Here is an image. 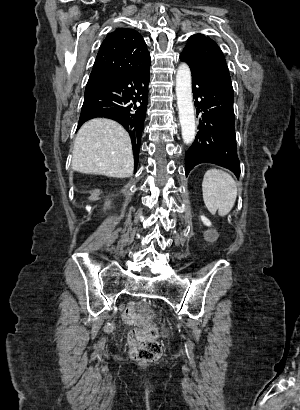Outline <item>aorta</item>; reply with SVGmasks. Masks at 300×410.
Here are the masks:
<instances>
[{
    "label": "aorta",
    "instance_id": "aorta-1",
    "mask_svg": "<svg viewBox=\"0 0 300 410\" xmlns=\"http://www.w3.org/2000/svg\"><path fill=\"white\" fill-rule=\"evenodd\" d=\"M176 96L179 120L184 143L190 144L196 135L191 72L186 63H181L176 74Z\"/></svg>",
    "mask_w": 300,
    "mask_h": 410
}]
</instances>
